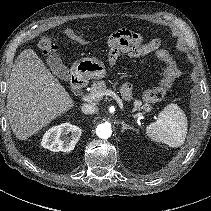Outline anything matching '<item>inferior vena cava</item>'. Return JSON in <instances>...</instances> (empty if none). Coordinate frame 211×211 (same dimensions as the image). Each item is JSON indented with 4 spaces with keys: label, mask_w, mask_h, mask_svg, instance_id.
<instances>
[{
    "label": "inferior vena cava",
    "mask_w": 211,
    "mask_h": 211,
    "mask_svg": "<svg viewBox=\"0 0 211 211\" xmlns=\"http://www.w3.org/2000/svg\"><path fill=\"white\" fill-rule=\"evenodd\" d=\"M81 111L84 114H95L98 112V108L92 104H84L81 107Z\"/></svg>",
    "instance_id": "1"
}]
</instances>
